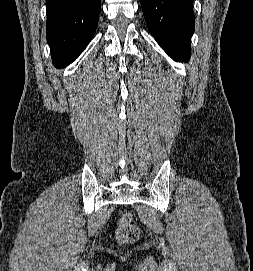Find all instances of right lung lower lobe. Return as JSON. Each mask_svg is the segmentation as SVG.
<instances>
[{"mask_svg": "<svg viewBox=\"0 0 253 271\" xmlns=\"http://www.w3.org/2000/svg\"><path fill=\"white\" fill-rule=\"evenodd\" d=\"M100 7L101 0H46V37L56 67L73 62L91 41Z\"/></svg>", "mask_w": 253, "mask_h": 271, "instance_id": "98d812e1", "label": "right lung lower lobe"}]
</instances>
